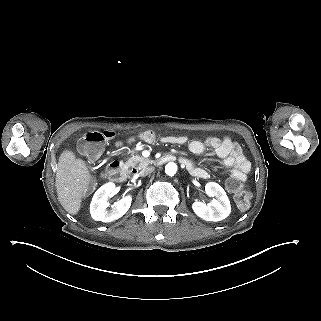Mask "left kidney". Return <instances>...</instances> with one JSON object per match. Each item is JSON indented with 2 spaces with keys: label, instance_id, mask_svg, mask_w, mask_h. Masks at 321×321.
Listing matches in <instances>:
<instances>
[{
  "label": "left kidney",
  "instance_id": "5707ae66",
  "mask_svg": "<svg viewBox=\"0 0 321 321\" xmlns=\"http://www.w3.org/2000/svg\"><path fill=\"white\" fill-rule=\"evenodd\" d=\"M205 192L209 197H216L207 205L203 202H194L192 209L197 216L206 221H221L231 213L229 198L224 189L216 182H208Z\"/></svg>",
  "mask_w": 321,
  "mask_h": 321
}]
</instances>
